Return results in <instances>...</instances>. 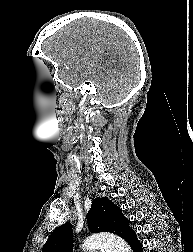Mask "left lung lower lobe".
Here are the masks:
<instances>
[{
  "label": "left lung lower lobe",
  "instance_id": "obj_1",
  "mask_svg": "<svg viewBox=\"0 0 193 252\" xmlns=\"http://www.w3.org/2000/svg\"><path fill=\"white\" fill-rule=\"evenodd\" d=\"M126 241L130 244V246L134 252H142L143 251L142 244L137 239V235L133 230L127 236Z\"/></svg>",
  "mask_w": 193,
  "mask_h": 252
}]
</instances>
